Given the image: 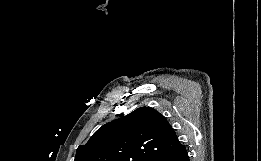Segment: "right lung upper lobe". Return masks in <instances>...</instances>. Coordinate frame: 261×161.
<instances>
[{
	"mask_svg": "<svg viewBox=\"0 0 261 161\" xmlns=\"http://www.w3.org/2000/svg\"><path fill=\"white\" fill-rule=\"evenodd\" d=\"M182 146L162 114L140 107L98 129L74 161H152Z\"/></svg>",
	"mask_w": 261,
	"mask_h": 161,
	"instance_id": "cb5924a9",
	"label": "right lung upper lobe"
}]
</instances>
